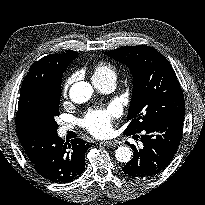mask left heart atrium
Listing matches in <instances>:
<instances>
[{
    "label": "left heart atrium",
    "mask_w": 205,
    "mask_h": 205,
    "mask_svg": "<svg viewBox=\"0 0 205 205\" xmlns=\"http://www.w3.org/2000/svg\"><path fill=\"white\" fill-rule=\"evenodd\" d=\"M119 114V109L110 106L89 112L84 119V126L94 135L102 136L110 132L111 120Z\"/></svg>",
    "instance_id": "left-heart-atrium-1"
}]
</instances>
